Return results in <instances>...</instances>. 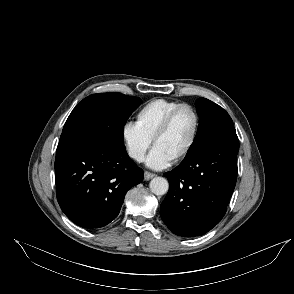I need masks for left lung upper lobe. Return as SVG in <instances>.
<instances>
[{
    "instance_id": "left-lung-upper-lobe-1",
    "label": "left lung upper lobe",
    "mask_w": 294,
    "mask_h": 294,
    "mask_svg": "<svg viewBox=\"0 0 294 294\" xmlns=\"http://www.w3.org/2000/svg\"><path fill=\"white\" fill-rule=\"evenodd\" d=\"M196 108L200 121L196 137L187 155L192 153L199 142L222 133L236 132L231 117L219 105L201 97L196 101Z\"/></svg>"
}]
</instances>
